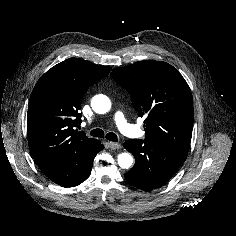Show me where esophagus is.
Wrapping results in <instances>:
<instances>
[{"mask_svg": "<svg viewBox=\"0 0 236 236\" xmlns=\"http://www.w3.org/2000/svg\"><path fill=\"white\" fill-rule=\"evenodd\" d=\"M109 147L113 150H116V149H120L121 145L119 143L109 142Z\"/></svg>", "mask_w": 236, "mask_h": 236, "instance_id": "obj_1", "label": "esophagus"}]
</instances>
